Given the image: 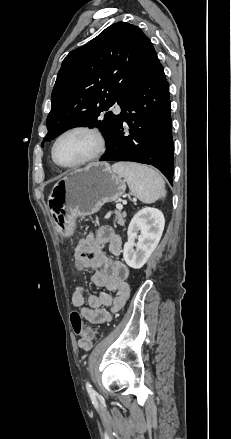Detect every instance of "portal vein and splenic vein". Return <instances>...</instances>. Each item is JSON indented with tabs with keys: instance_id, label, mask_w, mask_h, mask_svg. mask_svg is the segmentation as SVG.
<instances>
[{
	"instance_id": "obj_1",
	"label": "portal vein and splenic vein",
	"mask_w": 231,
	"mask_h": 439,
	"mask_svg": "<svg viewBox=\"0 0 231 439\" xmlns=\"http://www.w3.org/2000/svg\"><path fill=\"white\" fill-rule=\"evenodd\" d=\"M116 207H117L119 210L123 209V206L120 205V204L116 205Z\"/></svg>"
}]
</instances>
